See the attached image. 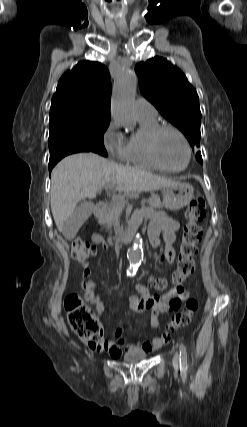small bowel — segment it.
<instances>
[{
	"label": "small bowel",
	"mask_w": 247,
	"mask_h": 427,
	"mask_svg": "<svg viewBox=\"0 0 247 427\" xmlns=\"http://www.w3.org/2000/svg\"><path fill=\"white\" fill-rule=\"evenodd\" d=\"M152 216V220L148 227V236L151 244L157 247L164 243V252L159 257L158 262H168L172 264L175 260V251L172 247L176 241V233L179 230V223L172 217L163 212H147ZM92 241L96 244H102L103 238L99 234L92 236ZM92 275V267L89 262L83 264L81 286L84 292L85 301L93 305L97 314H103L106 304L97 293V285L95 281L89 279ZM136 290L140 297L130 296L129 307L135 313H144L146 310L151 314V326L159 327V316L166 314L172 310L178 309L182 302L188 298V292L184 286H175L170 292L164 295H151L149 290L143 285H136ZM170 340V334L165 332L155 336L150 341H141L135 344H127L125 341L124 330L119 327L115 330L113 336L107 340V348L105 349L111 356L118 357L124 350L139 349L145 352H153L160 349Z\"/></svg>",
	"instance_id": "1"
}]
</instances>
